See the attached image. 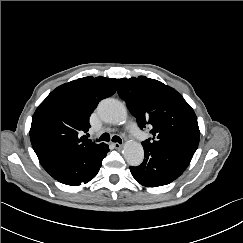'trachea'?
I'll return each instance as SVG.
<instances>
[{"instance_id":"3493384b","label":"trachea","mask_w":243,"mask_h":243,"mask_svg":"<svg viewBox=\"0 0 243 243\" xmlns=\"http://www.w3.org/2000/svg\"><path fill=\"white\" fill-rule=\"evenodd\" d=\"M99 141H106V142H109L110 141V135L108 134V133H104V134H102L100 137H99V139H98ZM111 140H112V142H117V143H119V144H121L122 143V140H121V138L119 137V136H113L112 138H111Z\"/></svg>"}]
</instances>
